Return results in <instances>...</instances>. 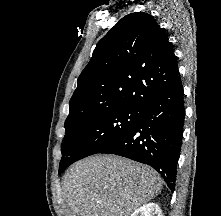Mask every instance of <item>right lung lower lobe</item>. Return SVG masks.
Wrapping results in <instances>:
<instances>
[{"mask_svg":"<svg viewBox=\"0 0 221 216\" xmlns=\"http://www.w3.org/2000/svg\"><path fill=\"white\" fill-rule=\"evenodd\" d=\"M180 76L139 107L133 128L101 153L152 166L173 192L183 136L185 108Z\"/></svg>","mask_w":221,"mask_h":216,"instance_id":"obj_1","label":"right lung lower lobe"}]
</instances>
